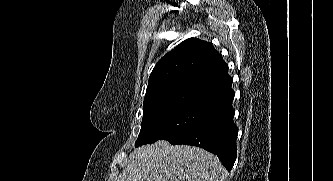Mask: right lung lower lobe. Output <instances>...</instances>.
I'll list each match as a JSON object with an SVG mask.
<instances>
[{
    "mask_svg": "<svg viewBox=\"0 0 333 181\" xmlns=\"http://www.w3.org/2000/svg\"><path fill=\"white\" fill-rule=\"evenodd\" d=\"M232 100L208 108L191 128L168 141L173 145H192L212 152L230 171L236 160L238 135V128L233 122L235 111Z\"/></svg>",
    "mask_w": 333,
    "mask_h": 181,
    "instance_id": "98d812e1",
    "label": "right lung lower lobe"
}]
</instances>
